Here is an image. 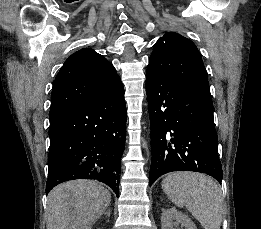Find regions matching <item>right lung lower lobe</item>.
<instances>
[{
	"label": "right lung lower lobe",
	"mask_w": 261,
	"mask_h": 229,
	"mask_svg": "<svg viewBox=\"0 0 261 229\" xmlns=\"http://www.w3.org/2000/svg\"><path fill=\"white\" fill-rule=\"evenodd\" d=\"M46 193L59 183L92 179L118 196L126 138V106L120 78L101 93L50 123Z\"/></svg>",
	"instance_id": "obj_1"
}]
</instances>
